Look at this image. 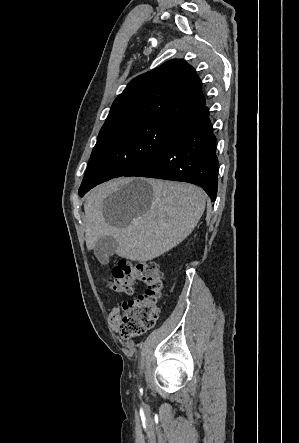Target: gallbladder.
I'll list each match as a JSON object with an SVG mask.
<instances>
[{
    "label": "gallbladder",
    "instance_id": "bac80fb5",
    "mask_svg": "<svg viewBox=\"0 0 299 443\" xmlns=\"http://www.w3.org/2000/svg\"><path fill=\"white\" fill-rule=\"evenodd\" d=\"M117 241L111 236L101 237L94 247V254L102 264L106 263L110 256L115 254Z\"/></svg>",
    "mask_w": 299,
    "mask_h": 443
}]
</instances>
